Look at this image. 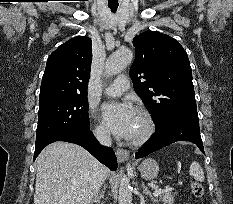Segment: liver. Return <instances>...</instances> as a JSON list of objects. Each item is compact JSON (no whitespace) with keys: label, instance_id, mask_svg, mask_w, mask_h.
<instances>
[{"label":"liver","instance_id":"6515ba94","mask_svg":"<svg viewBox=\"0 0 233 204\" xmlns=\"http://www.w3.org/2000/svg\"><path fill=\"white\" fill-rule=\"evenodd\" d=\"M34 204H90L107 177V168L82 147L48 145L36 159Z\"/></svg>","mask_w":233,"mask_h":204}]
</instances>
